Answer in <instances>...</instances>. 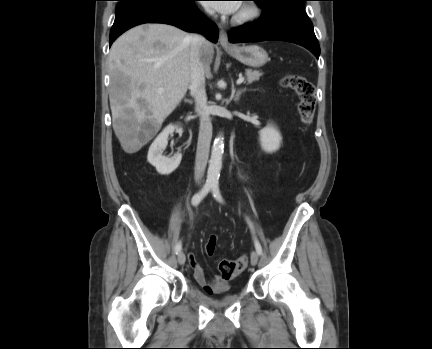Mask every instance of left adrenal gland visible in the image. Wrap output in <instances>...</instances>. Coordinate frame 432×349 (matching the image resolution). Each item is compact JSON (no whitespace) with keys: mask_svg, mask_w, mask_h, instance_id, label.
Wrapping results in <instances>:
<instances>
[{"mask_svg":"<svg viewBox=\"0 0 432 349\" xmlns=\"http://www.w3.org/2000/svg\"><path fill=\"white\" fill-rule=\"evenodd\" d=\"M246 91V88L243 89H239L236 91V89L234 88V85H232V94H231V98L234 99L235 102H238L240 99V96Z\"/></svg>","mask_w":432,"mask_h":349,"instance_id":"a2214340","label":"left adrenal gland"}]
</instances>
